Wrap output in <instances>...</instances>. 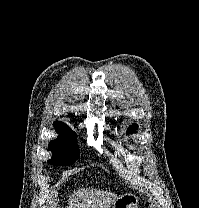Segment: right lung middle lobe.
<instances>
[{
  "label": "right lung middle lobe",
  "mask_w": 199,
  "mask_h": 208,
  "mask_svg": "<svg viewBox=\"0 0 199 208\" xmlns=\"http://www.w3.org/2000/svg\"><path fill=\"white\" fill-rule=\"evenodd\" d=\"M76 138L75 133H68L60 134L51 141L49 149L53 152V157L48 162L53 165H72L80 156Z\"/></svg>",
  "instance_id": "obj_1"
}]
</instances>
